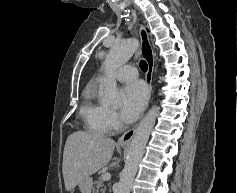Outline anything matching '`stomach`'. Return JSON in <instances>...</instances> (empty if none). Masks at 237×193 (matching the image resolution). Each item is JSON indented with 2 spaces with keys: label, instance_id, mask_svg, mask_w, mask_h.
Returning <instances> with one entry per match:
<instances>
[{
  "label": "stomach",
  "instance_id": "obj_1",
  "mask_svg": "<svg viewBox=\"0 0 237 193\" xmlns=\"http://www.w3.org/2000/svg\"><path fill=\"white\" fill-rule=\"evenodd\" d=\"M93 180L91 177H86L82 182L79 183V189L81 193H91Z\"/></svg>",
  "mask_w": 237,
  "mask_h": 193
}]
</instances>
